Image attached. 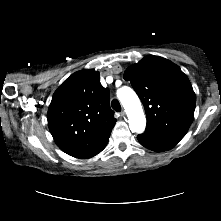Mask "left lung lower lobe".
<instances>
[{"instance_id": "1", "label": "left lung lower lobe", "mask_w": 221, "mask_h": 221, "mask_svg": "<svg viewBox=\"0 0 221 221\" xmlns=\"http://www.w3.org/2000/svg\"><path fill=\"white\" fill-rule=\"evenodd\" d=\"M185 134L158 131L146 128L143 134L137 136L139 143L153 151H166L174 147Z\"/></svg>"}]
</instances>
